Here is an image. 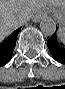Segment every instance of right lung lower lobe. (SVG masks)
Segmentation results:
<instances>
[{
	"instance_id": "1",
	"label": "right lung lower lobe",
	"mask_w": 65,
	"mask_h": 89,
	"mask_svg": "<svg viewBox=\"0 0 65 89\" xmlns=\"http://www.w3.org/2000/svg\"><path fill=\"white\" fill-rule=\"evenodd\" d=\"M19 30L20 29L13 32L8 38L0 43V66L7 64L12 58Z\"/></svg>"
}]
</instances>
